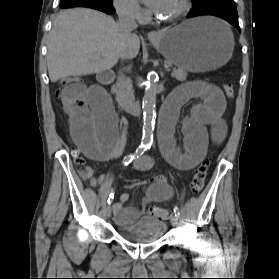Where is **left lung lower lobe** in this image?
I'll list each match as a JSON object with an SVG mask.
<instances>
[{
  "mask_svg": "<svg viewBox=\"0 0 279 279\" xmlns=\"http://www.w3.org/2000/svg\"><path fill=\"white\" fill-rule=\"evenodd\" d=\"M193 6L194 10L187 15V18L201 15H214L228 21L240 32L234 0H198L193 3Z\"/></svg>",
  "mask_w": 279,
  "mask_h": 279,
  "instance_id": "obj_1",
  "label": "left lung lower lobe"
}]
</instances>
